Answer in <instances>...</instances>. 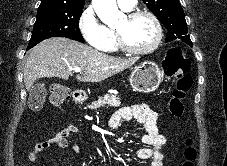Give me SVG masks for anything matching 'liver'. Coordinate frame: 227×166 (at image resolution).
Segmentation results:
<instances>
[{"instance_id": "obj_1", "label": "liver", "mask_w": 227, "mask_h": 166, "mask_svg": "<svg viewBox=\"0 0 227 166\" xmlns=\"http://www.w3.org/2000/svg\"><path fill=\"white\" fill-rule=\"evenodd\" d=\"M137 59L118 58L68 38L52 37L31 49L24 68V83L30 91L36 79L58 77L67 80L73 68L81 69L76 79L101 82L132 66Z\"/></svg>"}]
</instances>
